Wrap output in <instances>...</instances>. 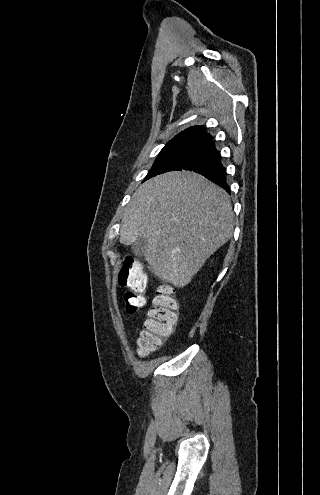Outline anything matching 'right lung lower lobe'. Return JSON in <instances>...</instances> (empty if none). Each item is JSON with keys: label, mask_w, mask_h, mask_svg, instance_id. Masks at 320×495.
I'll list each match as a JSON object with an SVG mask.
<instances>
[{"label": "right lung lower lobe", "mask_w": 320, "mask_h": 495, "mask_svg": "<svg viewBox=\"0 0 320 495\" xmlns=\"http://www.w3.org/2000/svg\"><path fill=\"white\" fill-rule=\"evenodd\" d=\"M182 169L199 173L230 193V188L226 183V169L222 165L220 153L211 140L206 142L178 170Z\"/></svg>", "instance_id": "right-lung-lower-lobe-1"}]
</instances>
